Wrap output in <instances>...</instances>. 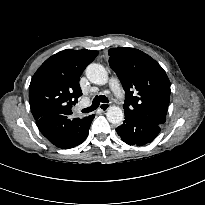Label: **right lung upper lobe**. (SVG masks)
Returning a JSON list of instances; mask_svg holds the SVG:
<instances>
[{"label":"right lung upper lobe","mask_w":205,"mask_h":205,"mask_svg":"<svg viewBox=\"0 0 205 205\" xmlns=\"http://www.w3.org/2000/svg\"><path fill=\"white\" fill-rule=\"evenodd\" d=\"M98 51L67 49L48 58L36 71L29 86V103L35 120L49 113L72 114L82 95L79 78ZM79 118L72 122L77 123Z\"/></svg>","instance_id":"right-lung-upper-lobe-1"}]
</instances>
